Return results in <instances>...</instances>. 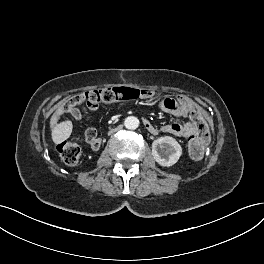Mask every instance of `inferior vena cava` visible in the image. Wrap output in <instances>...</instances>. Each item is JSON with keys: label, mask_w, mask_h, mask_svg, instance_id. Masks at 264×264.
<instances>
[{"label": "inferior vena cava", "mask_w": 264, "mask_h": 264, "mask_svg": "<svg viewBox=\"0 0 264 264\" xmlns=\"http://www.w3.org/2000/svg\"><path fill=\"white\" fill-rule=\"evenodd\" d=\"M123 129H124V125L123 124H120L119 126L110 129L109 130V133L110 134H114V133H117L118 131H121Z\"/></svg>", "instance_id": "obj_1"}]
</instances>
